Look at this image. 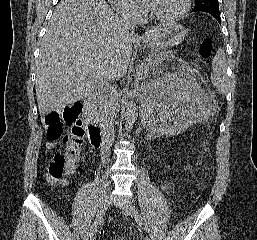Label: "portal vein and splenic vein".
I'll return each instance as SVG.
<instances>
[{"instance_id": "portal-vein-and-splenic-vein-1", "label": "portal vein and splenic vein", "mask_w": 257, "mask_h": 240, "mask_svg": "<svg viewBox=\"0 0 257 240\" xmlns=\"http://www.w3.org/2000/svg\"><path fill=\"white\" fill-rule=\"evenodd\" d=\"M139 79L137 78V75H136V81H138Z\"/></svg>"}]
</instances>
